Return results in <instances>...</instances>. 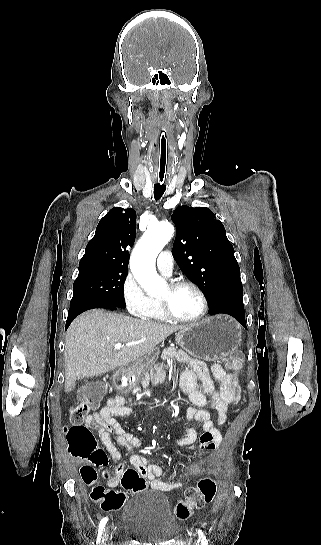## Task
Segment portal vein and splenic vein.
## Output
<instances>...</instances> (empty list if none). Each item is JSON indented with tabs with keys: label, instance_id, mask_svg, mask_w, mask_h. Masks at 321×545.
I'll list each match as a JSON object with an SVG mask.
<instances>
[{
	"label": "portal vein and splenic vein",
	"instance_id": "18ae733b",
	"mask_svg": "<svg viewBox=\"0 0 321 545\" xmlns=\"http://www.w3.org/2000/svg\"><path fill=\"white\" fill-rule=\"evenodd\" d=\"M130 345H137V343H125V345H122V343H116V345H114V349H117V351H120L122 347H130Z\"/></svg>",
	"mask_w": 321,
	"mask_h": 545
}]
</instances>
